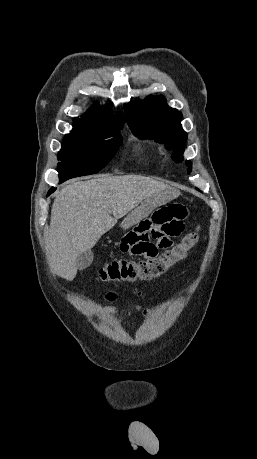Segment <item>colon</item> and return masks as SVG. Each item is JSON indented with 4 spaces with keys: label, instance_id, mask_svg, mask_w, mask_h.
Returning <instances> with one entry per match:
<instances>
[{
    "label": "colon",
    "instance_id": "obj_1",
    "mask_svg": "<svg viewBox=\"0 0 257 459\" xmlns=\"http://www.w3.org/2000/svg\"><path fill=\"white\" fill-rule=\"evenodd\" d=\"M198 239L197 231L190 232L184 236L181 242L173 244L169 251H163L158 254V258H154L153 261L128 259L113 261L100 268L96 278L101 282L154 279L171 266L185 259L198 242Z\"/></svg>",
    "mask_w": 257,
    "mask_h": 459
}]
</instances>
